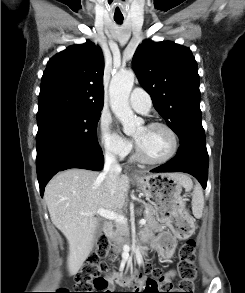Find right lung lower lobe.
Instances as JSON below:
<instances>
[{"label":"right lung lower lobe","instance_id":"1","mask_svg":"<svg viewBox=\"0 0 245 293\" xmlns=\"http://www.w3.org/2000/svg\"><path fill=\"white\" fill-rule=\"evenodd\" d=\"M104 157L100 148L73 147L61 149L37 166L40 194L43 196L48 181L59 171L70 168L101 170Z\"/></svg>","mask_w":245,"mask_h":293}]
</instances>
